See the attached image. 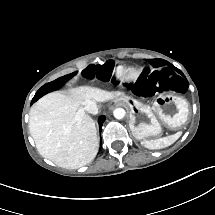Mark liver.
I'll return each instance as SVG.
<instances>
[{
	"instance_id": "1",
	"label": "liver",
	"mask_w": 215,
	"mask_h": 215,
	"mask_svg": "<svg viewBox=\"0 0 215 215\" xmlns=\"http://www.w3.org/2000/svg\"><path fill=\"white\" fill-rule=\"evenodd\" d=\"M90 86L40 98L30 109L29 130L39 153L56 165L78 169L97 155L99 141L93 119L82 106L87 101L105 102L123 95Z\"/></svg>"
}]
</instances>
